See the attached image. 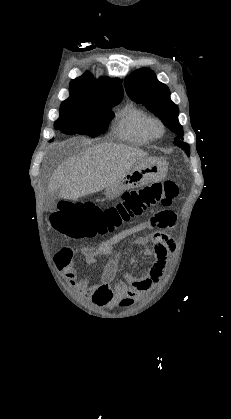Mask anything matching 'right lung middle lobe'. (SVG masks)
Here are the masks:
<instances>
[{"mask_svg": "<svg viewBox=\"0 0 231 419\" xmlns=\"http://www.w3.org/2000/svg\"><path fill=\"white\" fill-rule=\"evenodd\" d=\"M122 98L108 101H63L55 129L68 135L82 134L96 137L106 131L114 116L111 107Z\"/></svg>", "mask_w": 231, "mask_h": 419, "instance_id": "dd1d6c3e", "label": "right lung middle lobe"}]
</instances>
